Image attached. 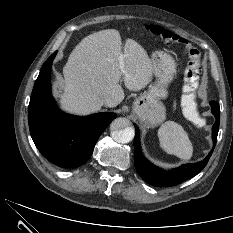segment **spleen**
Segmentation results:
<instances>
[{"instance_id":"3e777b00","label":"spleen","mask_w":233,"mask_h":233,"mask_svg":"<svg viewBox=\"0 0 233 233\" xmlns=\"http://www.w3.org/2000/svg\"><path fill=\"white\" fill-rule=\"evenodd\" d=\"M184 113L189 119L198 121L194 102L184 108ZM158 137L160 146L168 154H173L184 160H189L192 157V143L187 132L178 123L174 121L165 122L158 130Z\"/></svg>"}]
</instances>
